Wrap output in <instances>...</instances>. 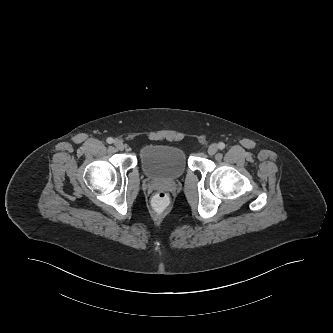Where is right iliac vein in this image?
Segmentation results:
<instances>
[{
  "mask_svg": "<svg viewBox=\"0 0 333 333\" xmlns=\"http://www.w3.org/2000/svg\"><path fill=\"white\" fill-rule=\"evenodd\" d=\"M114 146L118 149V150H123L124 149V144L121 140L116 139L114 141Z\"/></svg>",
  "mask_w": 333,
  "mask_h": 333,
  "instance_id": "1",
  "label": "right iliac vein"
}]
</instances>
